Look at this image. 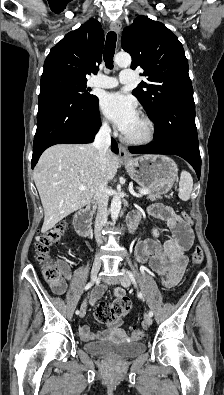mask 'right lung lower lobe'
Listing matches in <instances>:
<instances>
[{"label":"right lung lower lobe","mask_w":224,"mask_h":395,"mask_svg":"<svg viewBox=\"0 0 224 395\" xmlns=\"http://www.w3.org/2000/svg\"><path fill=\"white\" fill-rule=\"evenodd\" d=\"M37 130L33 142L32 168L48 147L61 143H91L101 121L98 98L82 102L54 87H41L38 99ZM112 151L118 153L112 139Z\"/></svg>","instance_id":"right-lung-lower-lobe-1"}]
</instances>
